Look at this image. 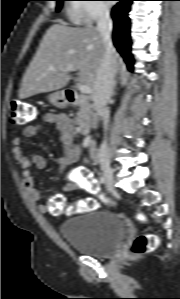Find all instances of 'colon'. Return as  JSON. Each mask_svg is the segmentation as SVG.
I'll use <instances>...</instances> for the list:
<instances>
[{
  "label": "colon",
  "mask_w": 180,
  "mask_h": 299,
  "mask_svg": "<svg viewBox=\"0 0 180 299\" xmlns=\"http://www.w3.org/2000/svg\"><path fill=\"white\" fill-rule=\"evenodd\" d=\"M38 116L37 108L26 101L12 100L9 104V119L13 125L24 126L33 122ZM81 187L90 193L98 192L97 181L89 174L83 173L80 177ZM97 207V203L92 198L80 200L72 205H67L61 196H53L47 204L48 212L52 215H60L65 211L73 213L88 212ZM145 220L144 217H141ZM157 246V238L151 234H141L137 236L131 245V253L134 256H141L149 253Z\"/></svg>",
  "instance_id": "colon-1"
}]
</instances>
